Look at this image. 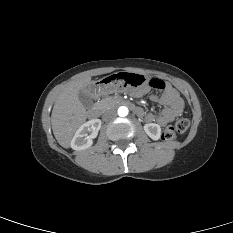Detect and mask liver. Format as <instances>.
<instances>
[{
  "instance_id": "liver-1",
  "label": "liver",
  "mask_w": 233,
  "mask_h": 233,
  "mask_svg": "<svg viewBox=\"0 0 233 233\" xmlns=\"http://www.w3.org/2000/svg\"><path fill=\"white\" fill-rule=\"evenodd\" d=\"M93 82L91 77H82L69 82L58 95L51 114L53 134L58 143L69 148L77 129L86 121V108L80 102V90L86 92Z\"/></svg>"
}]
</instances>
